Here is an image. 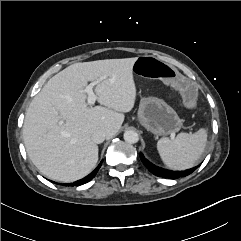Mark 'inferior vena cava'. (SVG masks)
Instances as JSON below:
<instances>
[{"mask_svg": "<svg viewBox=\"0 0 241 241\" xmlns=\"http://www.w3.org/2000/svg\"><path fill=\"white\" fill-rule=\"evenodd\" d=\"M106 134L103 130H96L92 134V140L96 144H100L105 140Z\"/></svg>", "mask_w": 241, "mask_h": 241, "instance_id": "obj_1", "label": "inferior vena cava"}]
</instances>
